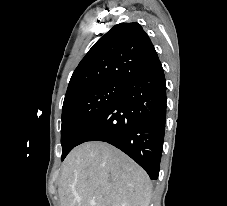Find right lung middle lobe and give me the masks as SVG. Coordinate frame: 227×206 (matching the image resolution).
<instances>
[{"mask_svg": "<svg viewBox=\"0 0 227 206\" xmlns=\"http://www.w3.org/2000/svg\"><path fill=\"white\" fill-rule=\"evenodd\" d=\"M124 82L98 83L65 97L62 108V157L78 145L83 134L122 94Z\"/></svg>", "mask_w": 227, "mask_h": 206, "instance_id": "1", "label": "right lung middle lobe"}]
</instances>
